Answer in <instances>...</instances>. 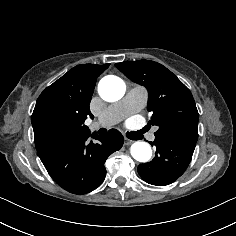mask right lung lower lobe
I'll list each match as a JSON object with an SVG mask.
<instances>
[{
    "instance_id": "98d812e1",
    "label": "right lung lower lobe",
    "mask_w": 236,
    "mask_h": 236,
    "mask_svg": "<svg viewBox=\"0 0 236 236\" xmlns=\"http://www.w3.org/2000/svg\"><path fill=\"white\" fill-rule=\"evenodd\" d=\"M99 141H87L89 137ZM124 142L122 134L112 129L106 136L89 131L48 141L36 147L38 155L53 180L74 194H85L105 179L104 163Z\"/></svg>"
}]
</instances>
